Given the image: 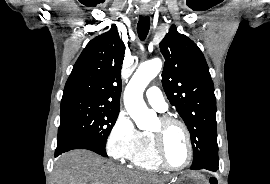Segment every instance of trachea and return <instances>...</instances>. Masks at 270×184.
<instances>
[{
	"label": "trachea",
	"mask_w": 270,
	"mask_h": 184,
	"mask_svg": "<svg viewBox=\"0 0 270 184\" xmlns=\"http://www.w3.org/2000/svg\"><path fill=\"white\" fill-rule=\"evenodd\" d=\"M150 29V18L148 16H139L137 24V33L140 40L144 41Z\"/></svg>",
	"instance_id": "obj_1"
}]
</instances>
